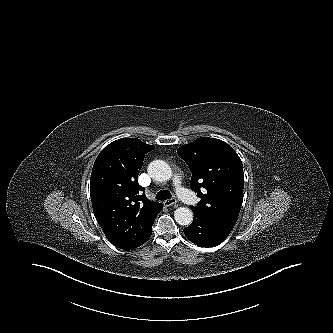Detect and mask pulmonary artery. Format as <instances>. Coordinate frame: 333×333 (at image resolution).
Listing matches in <instances>:
<instances>
[{
    "label": "pulmonary artery",
    "instance_id": "obj_1",
    "mask_svg": "<svg viewBox=\"0 0 333 333\" xmlns=\"http://www.w3.org/2000/svg\"><path fill=\"white\" fill-rule=\"evenodd\" d=\"M176 192L178 197L189 205H195L197 202L196 197L180 183H176Z\"/></svg>",
    "mask_w": 333,
    "mask_h": 333
}]
</instances>
